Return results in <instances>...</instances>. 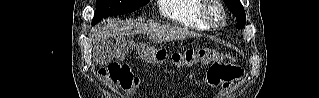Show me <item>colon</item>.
Wrapping results in <instances>:
<instances>
[{
	"instance_id": "colon-1",
	"label": "colon",
	"mask_w": 319,
	"mask_h": 98,
	"mask_svg": "<svg viewBox=\"0 0 319 98\" xmlns=\"http://www.w3.org/2000/svg\"><path fill=\"white\" fill-rule=\"evenodd\" d=\"M129 48L130 43L127 40L119 39L117 57L123 59ZM137 51L144 61L156 66L166 64L186 66L198 62H210L206 80L212 86L222 84L227 88L242 75V69L239 66L220 60L221 54L210 48L187 49L169 55L165 49H156L149 44H142L137 47ZM100 75L124 90H130L140 83V80L130 72L128 67L118 63L109 64L100 71Z\"/></svg>"
}]
</instances>
